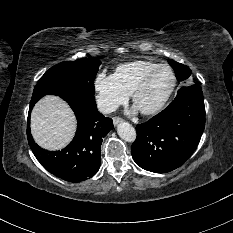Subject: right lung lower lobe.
Instances as JSON below:
<instances>
[{
    "label": "right lung lower lobe",
    "mask_w": 233,
    "mask_h": 233,
    "mask_svg": "<svg viewBox=\"0 0 233 233\" xmlns=\"http://www.w3.org/2000/svg\"><path fill=\"white\" fill-rule=\"evenodd\" d=\"M73 109L78 127L73 141L61 151H46L39 147L30 133V103L27 138L35 157L55 176L69 182H81L96 174L101 165L100 148L103 138L113 129V122L98 112L94 99L83 96H63Z\"/></svg>",
    "instance_id": "obj_1"
}]
</instances>
